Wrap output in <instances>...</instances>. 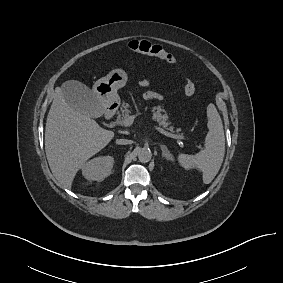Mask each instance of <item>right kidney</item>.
<instances>
[{
  "label": "right kidney",
  "instance_id": "ca27d5eb",
  "mask_svg": "<svg viewBox=\"0 0 283 283\" xmlns=\"http://www.w3.org/2000/svg\"><path fill=\"white\" fill-rule=\"evenodd\" d=\"M113 164L114 158L112 156H99L82 166V174L87 180L103 181L110 175Z\"/></svg>",
  "mask_w": 283,
  "mask_h": 283
}]
</instances>
